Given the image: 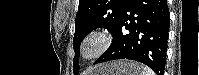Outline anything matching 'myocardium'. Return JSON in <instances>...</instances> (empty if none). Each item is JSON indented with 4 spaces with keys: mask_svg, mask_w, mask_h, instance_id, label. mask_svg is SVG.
I'll use <instances>...</instances> for the list:
<instances>
[{
    "mask_svg": "<svg viewBox=\"0 0 199 75\" xmlns=\"http://www.w3.org/2000/svg\"><path fill=\"white\" fill-rule=\"evenodd\" d=\"M113 44V34L107 28H96L90 31L81 41L79 48L80 58L84 61H94L103 55ZM89 45L94 46L91 53L86 49Z\"/></svg>",
    "mask_w": 199,
    "mask_h": 75,
    "instance_id": "obj_1",
    "label": "myocardium"
}]
</instances>
